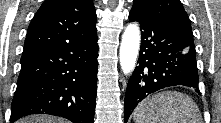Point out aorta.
<instances>
[{
    "label": "aorta",
    "instance_id": "obj_1",
    "mask_svg": "<svg viewBox=\"0 0 221 123\" xmlns=\"http://www.w3.org/2000/svg\"><path fill=\"white\" fill-rule=\"evenodd\" d=\"M140 47V31L136 24H129L122 35L120 45V66L124 74L131 73L136 64Z\"/></svg>",
    "mask_w": 221,
    "mask_h": 123
}]
</instances>
